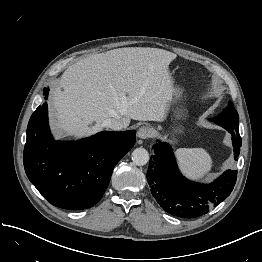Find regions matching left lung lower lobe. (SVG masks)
Listing matches in <instances>:
<instances>
[{
    "label": "left lung lower lobe",
    "instance_id": "obj_1",
    "mask_svg": "<svg viewBox=\"0 0 262 262\" xmlns=\"http://www.w3.org/2000/svg\"><path fill=\"white\" fill-rule=\"evenodd\" d=\"M234 142V159L240 152L239 129L225 128ZM147 179L151 193L169 214L182 218H195L206 214L225 200L234 188L237 171L227 170L211 183H197L186 179L179 171L172 147L166 142L153 146Z\"/></svg>",
    "mask_w": 262,
    "mask_h": 262
}]
</instances>
